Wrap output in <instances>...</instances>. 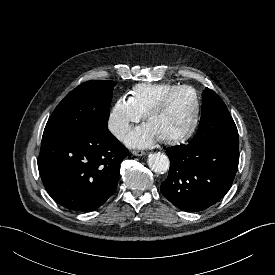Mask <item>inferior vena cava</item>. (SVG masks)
I'll list each match as a JSON object with an SVG mask.
<instances>
[{
	"mask_svg": "<svg viewBox=\"0 0 275 275\" xmlns=\"http://www.w3.org/2000/svg\"><path fill=\"white\" fill-rule=\"evenodd\" d=\"M127 130H128V127H126V126H120V127H118V128L115 129L114 134L116 135L117 138L120 139V138H122L125 135V133L127 132Z\"/></svg>",
	"mask_w": 275,
	"mask_h": 275,
	"instance_id": "inferior-vena-cava-1",
	"label": "inferior vena cava"
}]
</instances>
